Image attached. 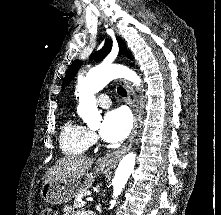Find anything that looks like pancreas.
Masks as SVG:
<instances>
[{"instance_id": "cf45deb5", "label": "pancreas", "mask_w": 221, "mask_h": 215, "mask_svg": "<svg viewBox=\"0 0 221 215\" xmlns=\"http://www.w3.org/2000/svg\"><path fill=\"white\" fill-rule=\"evenodd\" d=\"M90 192L88 190L81 192L74 200L73 208H83L85 205V202L81 200L84 196H88Z\"/></svg>"}]
</instances>
